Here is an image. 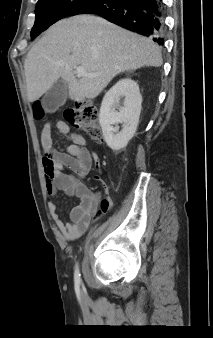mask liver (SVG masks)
I'll use <instances>...</instances> for the list:
<instances>
[{"instance_id":"liver-1","label":"liver","mask_w":213,"mask_h":338,"mask_svg":"<svg viewBox=\"0 0 213 338\" xmlns=\"http://www.w3.org/2000/svg\"><path fill=\"white\" fill-rule=\"evenodd\" d=\"M160 47L151 39L127 31L93 15L60 20L28 52L24 70L27 97L34 102L62 78L69 97L84 101L97 97L125 71L162 65ZM83 67L94 77L75 76Z\"/></svg>"}]
</instances>
